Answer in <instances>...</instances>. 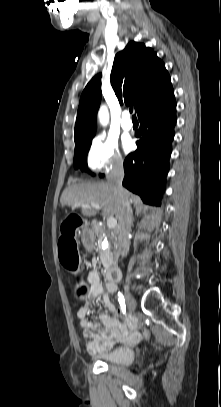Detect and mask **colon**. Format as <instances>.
Returning <instances> with one entry per match:
<instances>
[{"label": "colon", "mask_w": 221, "mask_h": 407, "mask_svg": "<svg viewBox=\"0 0 221 407\" xmlns=\"http://www.w3.org/2000/svg\"><path fill=\"white\" fill-rule=\"evenodd\" d=\"M73 216H63L62 218V237L60 240V261L62 265L71 273L76 274L78 270V254L76 243L74 239H79V229H82L84 223L82 220H76L75 212ZM78 292L86 294V288L83 284H79L77 287ZM145 338L149 335L144 332Z\"/></svg>", "instance_id": "obj_1"}]
</instances>
